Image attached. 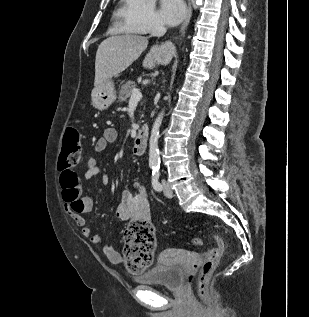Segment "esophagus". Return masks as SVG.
Instances as JSON below:
<instances>
[{"label": "esophagus", "instance_id": "1", "mask_svg": "<svg viewBox=\"0 0 309 317\" xmlns=\"http://www.w3.org/2000/svg\"><path fill=\"white\" fill-rule=\"evenodd\" d=\"M191 16H192V6H191V2H189L187 15H186L185 20L180 28L181 32H183L186 29V27L188 26L190 19H191Z\"/></svg>", "mask_w": 309, "mask_h": 317}]
</instances>
